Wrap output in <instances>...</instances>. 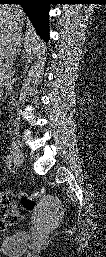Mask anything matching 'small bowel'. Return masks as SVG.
<instances>
[{"instance_id": "obj_1", "label": "small bowel", "mask_w": 106, "mask_h": 257, "mask_svg": "<svg viewBox=\"0 0 106 257\" xmlns=\"http://www.w3.org/2000/svg\"><path fill=\"white\" fill-rule=\"evenodd\" d=\"M0 228L12 225L17 221L18 212L13 203V198L10 194H2L0 200Z\"/></svg>"}]
</instances>
